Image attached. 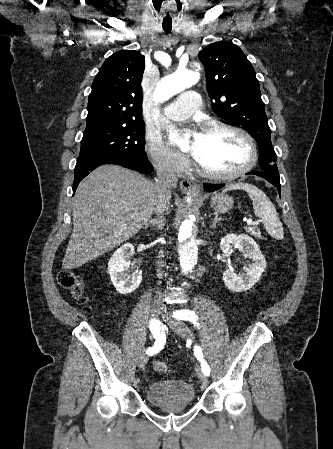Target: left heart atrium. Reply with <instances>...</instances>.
Returning <instances> with one entry per match:
<instances>
[{
    "label": "left heart atrium",
    "instance_id": "left-heart-atrium-1",
    "mask_svg": "<svg viewBox=\"0 0 333 449\" xmlns=\"http://www.w3.org/2000/svg\"><path fill=\"white\" fill-rule=\"evenodd\" d=\"M201 136H202V134L199 133V132H196V131L191 132V137H192V144L191 145H192L193 149L198 145V143H199V141L201 139ZM174 137L177 138V135H175Z\"/></svg>",
    "mask_w": 333,
    "mask_h": 449
}]
</instances>
